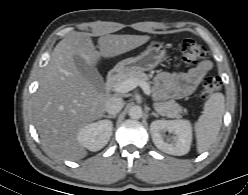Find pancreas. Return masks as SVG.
<instances>
[{
	"label": "pancreas",
	"instance_id": "cf45deb5",
	"mask_svg": "<svg viewBox=\"0 0 248 195\" xmlns=\"http://www.w3.org/2000/svg\"><path fill=\"white\" fill-rule=\"evenodd\" d=\"M128 79H137L138 81H144L150 84L148 75L144 72L137 71L120 75L114 82V86ZM153 106L154 109L162 116L169 118L181 117L180 113H182V107L174 100L168 102H155Z\"/></svg>",
	"mask_w": 248,
	"mask_h": 195
}]
</instances>
